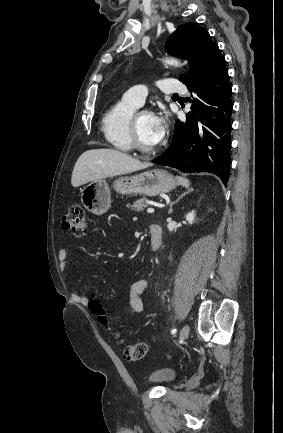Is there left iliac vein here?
<instances>
[{
  "mask_svg": "<svg viewBox=\"0 0 283 433\" xmlns=\"http://www.w3.org/2000/svg\"><path fill=\"white\" fill-rule=\"evenodd\" d=\"M189 333H190L189 326L188 325L183 326L179 334L180 342H183L188 337Z\"/></svg>",
  "mask_w": 283,
  "mask_h": 433,
  "instance_id": "1",
  "label": "left iliac vein"
}]
</instances>
